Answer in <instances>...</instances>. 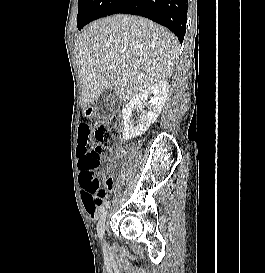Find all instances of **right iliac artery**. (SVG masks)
<instances>
[{"mask_svg":"<svg viewBox=\"0 0 265 273\" xmlns=\"http://www.w3.org/2000/svg\"><path fill=\"white\" fill-rule=\"evenodd\" d=\"M109 206V202H104L103 204H102V206L100 207V209H99V213L101 214V213H103L106 209H107V207Z\"/></svg>","mask_w":265,"mask_h":273,"instance_id":"right-iliac-artery-1","label":"right iliac artery"}]
</instances>
